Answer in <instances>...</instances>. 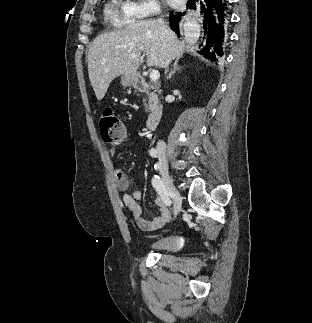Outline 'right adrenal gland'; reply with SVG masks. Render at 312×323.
Instances as JSON below:
<instances>
[{"label": "right adrenal gland", "instance_id": "2a0ac1e0", "mask_svg": "<svg viewBox=\"0 0 312 323\" xmlns=\"http://www.w3.org/2000/svg\"><path fill=\"white\" fill-rule=\"evenodd\" d=\"M179 60H180V58H177V60H175L173 70H172V72H170V74H168L167 80H170V78H172V76H174L176 70H179V68H180V66H178Z\"/></svg>", "mask_w": 312, "mask_h": 323}]
</instances>
